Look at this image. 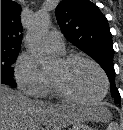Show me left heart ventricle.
Here are the masks:
<instances>
[{"label":"left heart ventricle","instance_id":"b2bd125f","mask_svg":"<svg viewBox=\"0 0 123 130\" xmlns=\"http://www.w3.org/2000/svg\"><path fill=\"white\" fill-rule=\"evenodd\" d=\"M50 73L59 77L66 88L79 98H96L101 95L104 88L99 71L85 61H76L69 66H63L57 61Z\"/></svg>","mask_w":123,"mask_h":130}]
</instances>
